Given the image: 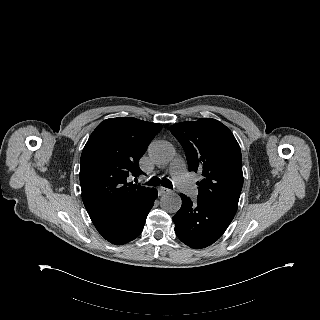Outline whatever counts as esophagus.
I'll use <instances>...</instances> for the list:
<instances>
[{
	"mask_svg": "<svg viewBox=\"0 0 320 320\" xmlns=\"http://www.w3.org/2000/svg\"><path fill=\"white\" fill-rule=\"evenodd\" d=\"M169 192H171V190L168 189V188H165V187H159V189H158V194L159 195H163V194H166V193H169Z\"/></svg>",
	"mask_w": 320,
	"mask_h": 320,
	"instance_id": "1",
	"label": "esophagus"
}]
</instances>
